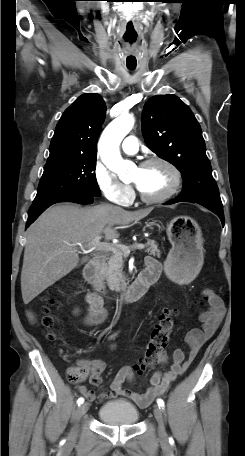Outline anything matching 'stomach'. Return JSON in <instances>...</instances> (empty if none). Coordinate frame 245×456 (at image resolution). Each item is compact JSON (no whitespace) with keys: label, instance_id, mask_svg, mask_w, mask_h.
Returning <instances> with one entry per match:
<instances>
[{"label":"stomach","instance_id":"obj_1","mask_svg":"<svg viewBox=\"0 0 245 456\" xmlns=\"http://www.w3.org/2000/svg\"><path fill=\"white\" fill-rule=\"evenodd\" d=\"M166 233L172 248L165 261L170 279L178 284L192 281L203 264V238L198 223L189 216L174 217Z\"/></svg>","mask_w":245,"mask_h":456}]
</instances>
